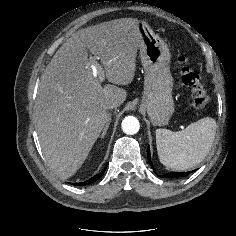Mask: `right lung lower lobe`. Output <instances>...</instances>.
Masks as SVG:
<instances>
[{
    "label": "right lung lower lobe",
    "mask_w": 236,
    "mask_h": 236,
    "mask_svg": "<svg viewBox=\"0 0 236 236\" xmlns=\"http://www.w3.org/2000/svg\"><path fill=\"white\" fill-rule=\"evenodd\" d=\"M106 168H107V165L105 166V168H104L99 174L94 175V176L91 177L89 180H87V181H85V182H80V183H73V185H76V186H85V185H87V184L96 182L99 178L102 177V175L104 174Z\"/></svg>",
    "instance_id": "obj_1"
}]
</instances>
